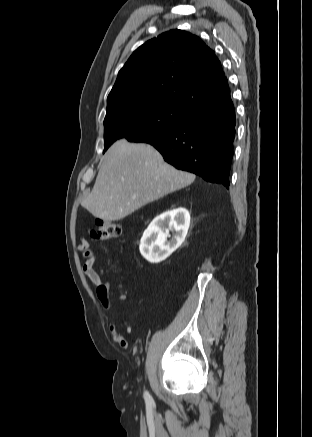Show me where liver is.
Here are the masks:
<instances>
[{
	"label": "liver",
	"mask_w": 312,
	"mask_h": 437,
	"mask_svg": "<svg viewBox=\"0 0 312 437\" xmlns=\"http://www.w3.org/2000/svg\"><path fill=\"white\" fill-rule=\"evenodd\" d=\"M194 180V174L167 164L153 146L121 139L106 152L82 206L97 218L117 221Z\"/></svg>",
	"instance_id": "6515ba94"
}]
</instances>
